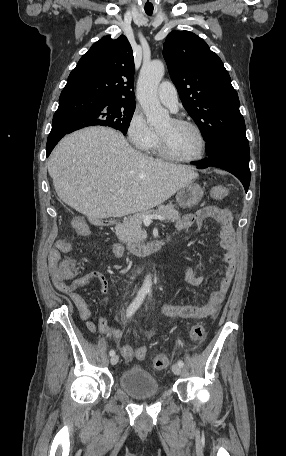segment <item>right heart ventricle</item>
I'll return each instance as SVG.
<instances>
[{"mask_svg":"<svg viewBox=\"0 0 286 456\" xmlns=\"http://www.w3.org/2000/svg\"><path fill=\"white\" fill-rule=\"evenodd\" d=\"M146 150L152 153H158L157 137H155L154 141Z\"/></svg>","mask_w":286,"mask_h":456,"instance_id":"right-heart-ventricle-1","label":"right heart ventricle"}]
</instances>
